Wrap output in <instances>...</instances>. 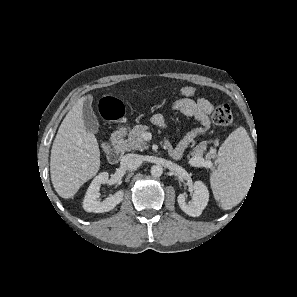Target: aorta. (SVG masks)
I'll return each instance as SVG.
<instances>
[{
    "label": "aorta",
    "instance_id": "1",
    "mask_svg": "<svg viewBox=\"0 0 297 297\" xmlns=\"http://www.w3.org/2000/svg\"><path fill=\"white\" fill-rule=\"evenodd\" d=\"M150 173L154 177H160L163 173V167L159 164L153 165L150 169Z\"/></svg>",
    "mask_w": 297,
    "mask_h": 297
}]
</instances>
